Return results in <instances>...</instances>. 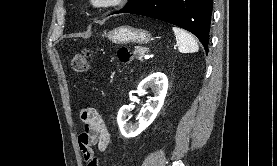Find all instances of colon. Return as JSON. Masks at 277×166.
Instances as JSON below:
<instances>
[{
  "label": "colon",
  "instance_id": "colon-1",
  "mask_svg": "<svg viewBox=\"0 0 277 166\" xmlns=\"http://www.w3.org/2000/svg\"><path fill=\"white\" fill-rule=\"evenodd\" d=\"M118 58L121 62L127 63L131 60L132 56L128 48L121 47L118 50ZM90 65V52L83 50L77 53L71 60V69L74 72L83 73L86 72Z\"/></svg>",
  "mask_w": 277,
  "mask_h": 166
}]
</instances>
